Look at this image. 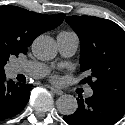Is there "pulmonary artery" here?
<instances>
[{"label": "pulmonary artery", "mask_w": 125, "mask_h": 125, "mask_svg": "<svg viewBox=\"0 0 125 125\" xmlns=\"http://www.w3.org/2000/svg\"><path fill=\"white\" fill-rule=\"evenodd\" d=\"M57 44L59 52L65 56L70 57L75 54L79 46V38L73 32H60L57 35ZM14 72L16 74H24L34 78H43L49 73V68L35 61H22L15 65ZM93 91L88 89L86 96H92Z\"/></svg>", "instance_id": "1"}]
</instances>
